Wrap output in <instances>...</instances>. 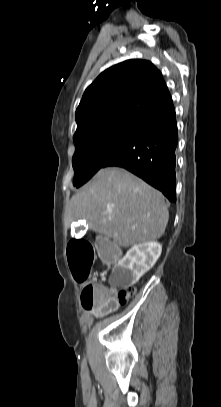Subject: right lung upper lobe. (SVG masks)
Wrapping results in <instances>:
<instances>
[{"mask_svg":"<svg viewBox=\"0 0 221 407\" xmlns=\"http://www.w3.org/2000/svg\"><path fill=\"white\" fill-rule=\"evenodd\" d=\"M171 100L161 72L151 62L134 59L114 65L85 90L73 140L116 124H138Z\"/></svg>","mask_w":221,"mask_h":407,"instance_id":"cb5924a9","label":"right lung upper lobe"}]
</instances>
